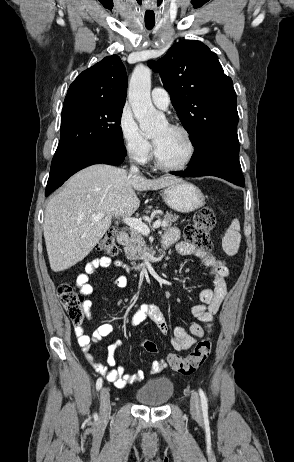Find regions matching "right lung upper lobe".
<instances>
[{
  "label": "right lung upper lobe",
  "instance_id": "1",
  "mask_svg": "<svg viewBox=\"0 0 294 462\" xmlns=\"http://www.w3.org/2000/svg\"><path fill=\"white\" fill-rule=\"evenodd\" d=\"M127 85L126 69L120 57L107 56L77 76L64 104L82 100L125 102Z\"/></svg>",
  "mask_w": 294,
  "mask_h": 462
}]
</instances>
